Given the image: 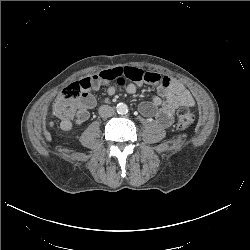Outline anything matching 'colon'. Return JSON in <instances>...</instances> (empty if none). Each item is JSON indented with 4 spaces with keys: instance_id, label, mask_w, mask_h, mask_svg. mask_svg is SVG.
Segmentation results:
<instances>
[{
    "instance_id": "1",
    "label": "colon",
    "mask_w": 250,
    "mask_h": 250,
    "mask_svg": "<svg viewBox=\"0 0 250 250\" xmlns=\"http://www.w3.org/2000/svg\"><path fill=\"white\" fill-rule=\"evenodd\" d=\"M81 95L78 83H72L61 90L53 102L51 115L55 118L69 120L75 113L77 100ZM193 114L187 107H182L177 112L176 128L180 131L190 128L193 124Z\"/></svg>"
}]
</instances>
